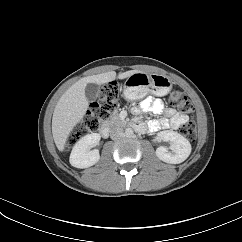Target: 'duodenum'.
<instances>
[{"mask_svg": "<svg viewBox=\"0 0 242 242\" xmlns=\"http://www.w3.org/2000/svg\"><path fill=\"white\" fill-rule=\"evenodd\" d=\"M131 127H135L134 123H131ZM109 126L108 125H104L101 130H100V134L102 137H107L109 135Z\"/></svg>", "mask_w": 242, "mask_h": 242, "instance_id": "410a0bca", "label": "duodenum"}]
</instances>
